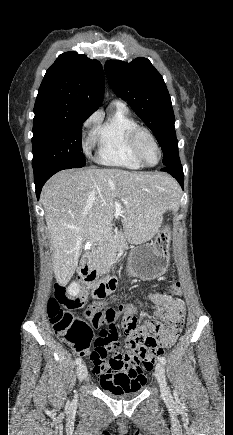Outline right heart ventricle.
Here are the masks:
<instances>
[{
	"label": "right heart ventricle",
	"mask_w": 233,
	"mask_h": 435,
	"mask_svg": "<svg viewBox=\"0 0 233 435\" xmlns=\"http://www.w3.org/2000/svg\"><path fill=\"white\" fill-rule=\"evenodd\" d=\"M137 126V121L121 105H117L105 119L98 120L91 133V141L98 149V162L124 169H142L144 165L130 144V133Z\"/></svg>",
	"instance_id": "obj_1"
}]
</instances>
